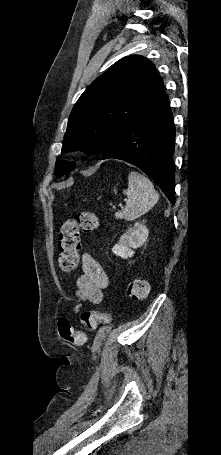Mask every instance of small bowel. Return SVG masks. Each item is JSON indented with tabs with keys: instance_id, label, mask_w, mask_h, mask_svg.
<instances>
[{
	"instance_id": "c3829d8e",
	"label": "small bowel",
	"mask_w": 221,
	"mask_h": 455,
	"mask_svg": "<svg viewBox=\"0 0 221 455\" xmlns=\"http://www.w3.org/2000/svg\"><path fill=\"white\" fill-rule=\"evenodd\" d=\"M83 274L77 279L76 295L81 301L99 304L109 280L101 265L88 252L81 256ZM80 305L75 308L79 312Z\"/></svg>"
}]
</instances>
